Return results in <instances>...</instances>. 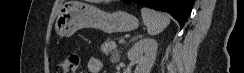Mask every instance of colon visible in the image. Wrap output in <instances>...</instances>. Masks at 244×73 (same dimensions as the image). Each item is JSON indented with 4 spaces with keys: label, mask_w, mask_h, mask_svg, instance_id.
Wrapping results in <instances>:
<instances>
[{
    "label": "colon",
    "mask_w": 244,
    "mask_h": 73,
    "mask_svg": "<svg viewBox=\"0 0 244 73\" xmlns=\"http://www.w3.org/2000/svg\"><path fill=\"white\" fill-rule=\"evenodd\" d=\"M80 64V57L76 53L68 54L64 59L58 62L56 66L57 73H77Z\"/></svg>",
    "instance_id": "5ec220e1"
}]
</instances>
